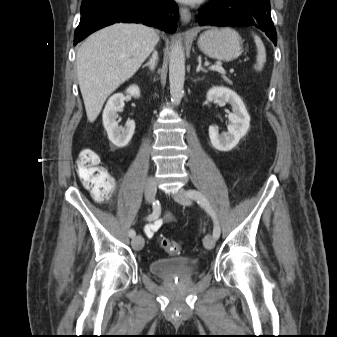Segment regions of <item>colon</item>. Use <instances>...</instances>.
I'll return each mask as SVG.
<instances>
[{"label":"colon","mask_w":337,"mask_h":337,"mask_svg":"<svg viewBox=\"0 0 337 337\" xmlns=\"http://www.w3.org/2000/svg\"><path fill=\"white\" fill-rule=\"evenodd\" d=\"M100 162L97 151L85 148L79 153L76 168L84 187L92 197L98 201H105L112 195L115 184ZM160 243L170 254H178L181 251L180 243L175 240L162 238Z\"/></svg>","instance_id":"obj_1"}]
</instances>
